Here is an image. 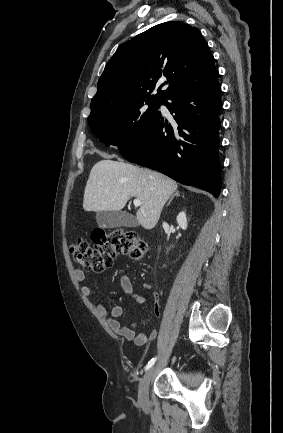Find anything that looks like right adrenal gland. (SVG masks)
Segmentation results:
<instances>
[{
    "instance_id": "right-adrenal-gland-1",
    "label": "right adrenal gland",
    "mask_w": 283,
    "mask_h": 433,
    "mask_svg": "<svg viewBox=\"0 0 283 433\" xmlns=\"http://www.w3.org/2000/svg\"><path fill=\"white\" fill-rule=\"evenodd\" d=\"M174 196H180L179 190H175V192H174V194H172L168 204H170V202H171V200H173ZM168 204H166V206H168Z\"/></svg>"
}]
</instances>
